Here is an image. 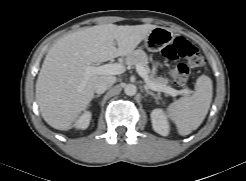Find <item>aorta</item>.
Segmentation results:
<instances>
[{
	"instance_id": "aorta-1",
	"label": "aorta",
	"mask_w": 246,
	"mask_h": 181,
	"mask_svg": "<svg viewBox=\"0 0 246 181\" xmlns=\"http://www.w3.org/2000/svg\"><path fill=\"white\" fill-rule=\"evenodd\" d=\"M137 92V88L134 84H126L124 86V93L128 96H134Z\"/></svg>"
}]
</instances>
